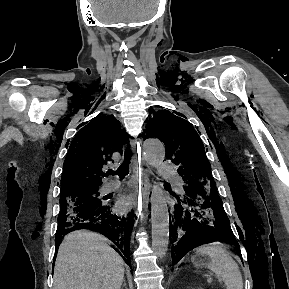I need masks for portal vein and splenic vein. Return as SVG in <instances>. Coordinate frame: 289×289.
Segmentation results:
<instances>
[{
    "instance_id": "portal-vein-and-splenic-vein-1",
    "label": "portal vein and splenic vein",
    "mask_w": 289,
    "mask_h": 289,
    "mask_svg": "<svg viewBox=\"0 0 289 289\" xmlns=\"http://www.w3.org/2000/svg\"><path fill=\"white\" fill-rule=\"evenodd\" d=\"M208 276V275H207ZM209 282L211 281V278H209V280H208Z\"/></svg>"
}]
</instances>
